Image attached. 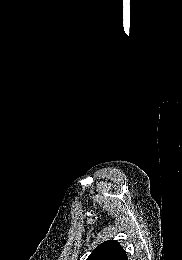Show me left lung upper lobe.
Wrapping results in <instances>:
<instances>
[{"instance_id": "left-lung-upper-lobe-1", "label": "left lung upper lobe", "mask_w": 182, "mask_h": 260, "mask_svg": "<svg viewBox=\"0 0 182 260\" xmlns=\"http://www.w3.org/2000/svg\"><path fill=\"white\" fill-rule=\"evenodd\" d=\"M87 260H127V255L117 241L108 240L98 245Z\"/></svg>"}]
</instances>
